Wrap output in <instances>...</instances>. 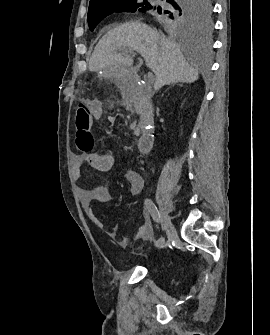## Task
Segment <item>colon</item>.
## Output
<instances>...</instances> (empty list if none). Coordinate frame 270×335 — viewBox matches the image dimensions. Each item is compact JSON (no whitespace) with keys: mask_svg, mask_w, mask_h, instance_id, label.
Segmentation results:
<instances>
[{"mask_svg":"<svg viewBox=\"0 0 270 335\" xmlns=\"http://www.w3.org/2000/svg\"><path fill=\"white\" fill-rule=\"evenodd\" d=\"M75 123H77L76 133L85 134V141H77V148H84V152H91L95 145V139L90 132V123H93V116L90 110L79 109L78 116H75Z\"/></svg>","mask_w":270,"mask_h":335,"instance_id":"colon-1","label":"colon"}]
</instances>
